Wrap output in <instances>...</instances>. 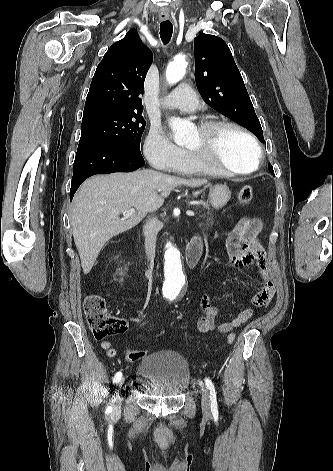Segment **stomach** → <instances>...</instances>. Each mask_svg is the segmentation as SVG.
<instances>
[{
	"mask_svg": "<svg viewBox=\"0 0 333 471\" xmlns=\"http://www.w3.org/2000/svg\"><path fill=\"white\" fill-rule=\"evenodd\" d=\"M231 196L230 190L225 185L217 184L210 187L209 202L215 209L223 208Z\"/></svg>",
	"mask_w": 333,
	"mask_h": 471,
	"instance_id": "obj_1",
	"label": "stomach"
}]
</instances>
